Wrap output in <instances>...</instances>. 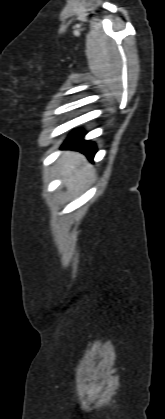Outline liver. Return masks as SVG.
<instances>
[{"mask_svg":"<svg viewBox=\"0 0 165 419\" xmlns=\"http://www.w3.org/2000/svg\"><path fill=\"white\" fill-rule=\"evenodd\" d=\"M86 158L76 152H66L60 159L61 175L65 178V184L69 191H78L83 184L94 175V170L90 165L82 164Z\"/></svg>","mask_w":165,"mask_h":419,"instance_id":"obj_1","label":"liver"}]
</instances>
